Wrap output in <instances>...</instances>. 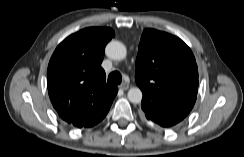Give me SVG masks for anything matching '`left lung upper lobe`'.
Instances as JSON below:
<instances>
[{"mask_svg":"<svg viewBox=\"0 0 244 157\" xmlns=\"http://www.w3.org/2000/svg\"><path fill=\"white\" fill-rule=\"evenodd\" d=\"M135 80L141 108L161 127H172L192 110L198 92V68L190 48L178 37L145 29L136 58Z\"/></svg>","mask_w":244,"mask_h":157,"instance_id":"left-lung-upper-lobe-1","label":"left lung upper lobe"}]
</instances>
